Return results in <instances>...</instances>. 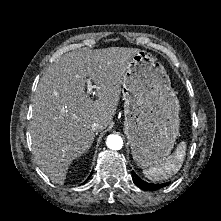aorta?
<instances>
[{"label":"aorta","mask_w":221,"mask_h":221,"mask_svg":"<svg viewBox=\"0 0 221 221\" xmlns=\"http://www.w3.org/2000/svg\"><path fill=\"white\" fill-rule=\"evenodd\" d=\"M106 145L111 150H120L123 146V140L119 135L111 134L107 137Z\"/></svg>","instance_id":"1"}]
</instances>
